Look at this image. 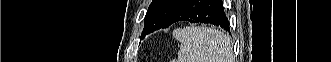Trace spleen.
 Returning <instances> with one entry per match:
<instances>
[{
    "mask_svg": "<svg viewBox=\"0 0 331 62\" xmlns=\"http://www.w3.org/2000/svg\"><path fill=\"white\" fill-rule=\"evenodd\" d=\"M180 50L176 62H233L229 35L207 27H183L173 31Z\"/></svg>",
    "mask_w": 331,
    "mask_h": 62,
    "instance_id": "1",
    "label": "spleen"
}]
</instances>
